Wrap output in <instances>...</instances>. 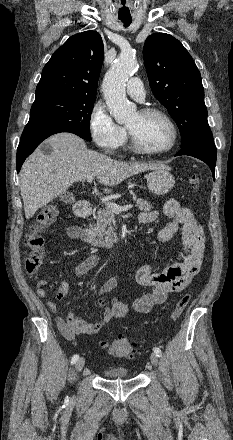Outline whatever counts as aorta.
<instances>
[{
	"mask_svg": "<svg viewBox=\"0 0 233 440\" xmlns=\"http://www.w3.org/2000/svg\"><path fill=\"white\" fill-rule=\"evenodd\" d=\"M137 62L132 53H122L106 73L102 90L108 109L119 124L127 122L136 113V106L127 100L125 86L135 72Z\"/></svg>",
	"mask_w": 233,
	"mask_h": 440,
	"instance_id": "762f6f07",
	"label": "aorta"
}]
</instances>
